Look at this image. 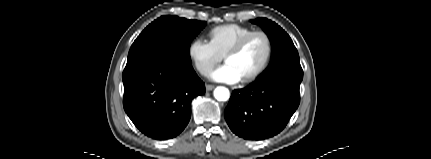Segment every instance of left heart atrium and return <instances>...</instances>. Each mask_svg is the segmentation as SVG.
<instances>
[{
    "label": "left heart atrium",
    "instance_id": "obj_1",
    "mask_svg": "<svg viewBox=\"0 0 431 159\" xmlns=\"http://www.w3.org/2000/svg\"><path fill=\"white\" fill-rule=\"evenodd\" d=\"M211 78L214 81L227 84H235L241 81L237 72L227 63L214 70L211 74Z\"/></svg>",
    "mask_w": 431,
    "mask_h": 159
}]
</instances>
